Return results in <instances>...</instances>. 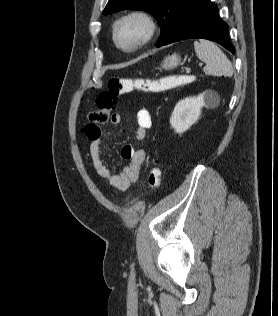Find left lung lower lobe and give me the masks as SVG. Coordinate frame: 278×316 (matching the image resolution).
Here are the masks:
<instances>
[{"label": "left lung lower lobe", "instance_id": "obj_1", "mask_svg": "<svg viewBox=\"0 0 278 316\" xmlns=\"http://www.w3.org/2000/svg\"><path fill=\"white\" fill-rule=\"evenodd\" d=\"M198 38L215 41L235 54L229 26L220 19L217 6L210 0H189L171 36L161 46Z\"/></svg>", "mask_w": 278, "mask_h": 316}]
</instances>
